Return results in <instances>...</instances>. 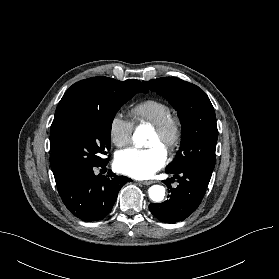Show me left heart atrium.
I'll list each match as a JSON object with an SVG mask.
<instances>
[{"mask_svg":"<svg viewBox=\"0 0 279 279\" xmlns=\"http://www.w3.org/2000/svg\"><path fill=\"white\" fill-rule=\"evenodd\" d=\"M167 161L166 150L159 145L148 148L130 147L116 154V169L136 179L153 176Z\"/></svg>","mask_w":279,"mask_h":279,"instance_id":"left-heart-atrium-1","label":"left heart atrium"}]
</instances>
